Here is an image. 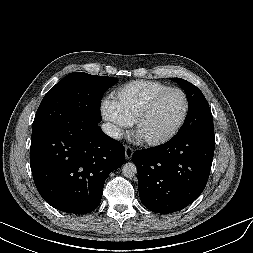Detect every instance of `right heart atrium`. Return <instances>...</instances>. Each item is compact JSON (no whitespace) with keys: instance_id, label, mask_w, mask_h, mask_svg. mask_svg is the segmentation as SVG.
<instances>
[{"instance_id":"obj_1","label":"right heart atrium","mask_w":253,"mask_h":253,"mask_svg":"<svg viewBox=\"0 0 253 253\" xmlns=\"http://www.w3.org/2000/svg\"><path fill=\"white\" fill-rule=\"evenodd\" d=\"M101 111L104 119L110 122L117 131H122L128 126L113 100H105L102 103Z\"/></svg>"}]
</instances>
